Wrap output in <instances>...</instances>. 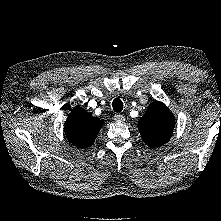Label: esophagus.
<instances>
[{
    "mask_svg": "<svg viewBox=\"0 0 221 221\" xmlns=\"http://www.w3.org/2000/svg\"><path fill=\"white\" fill-rule=\"evenodd\" d=\"M114 120L118 123H122L125 121V117L122 114L117 113L114 115Z\"/></svg>",
    "mask_w": 221,
    "mask_h": 221,
    "instance_id": "1",
    "label": "esophagus"
}]
</instances>
